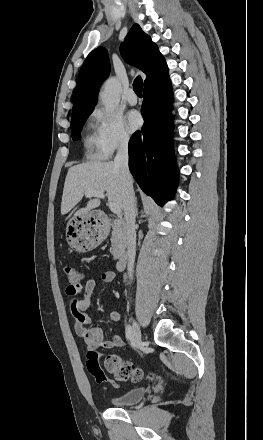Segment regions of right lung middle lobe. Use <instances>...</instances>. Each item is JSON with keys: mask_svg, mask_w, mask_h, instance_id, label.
Segmentation results:
<instances>
[{"mask_svg": "<svg viewBox=\"0 0 263 440\" xmlns=\"http://www.w3.org/2000/svg\"><path fill=\"white\" fill-rule=\"evenodd\" d=\"M90 114L91 112H88L71 118V130L73 140H78L80 138L83 125Z\"/></svg>", "mask_w": 263, "mask_h": 440, "instance_id": "1", "label": "right lung middle lobe"}]
</instances>
